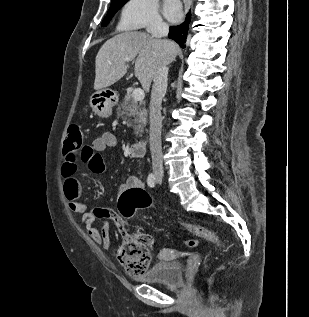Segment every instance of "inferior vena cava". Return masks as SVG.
I'll use <instances>...</instances> for the list:
<instances>
[{"label": "inferior vena cava", "mask_w": 309, "mask_h": 317, "mask_svg": "<svg viewBox=\"0 0 309 317\" xmlns=\"http://www.w3.org/2000/svg\"><path fill=\"white\" fill-rule=\"evenodd\" d=\"M153 38L160 39L166 37L169 32V26L160 21H154L148 28ZM165 52H169L172 44L168 40H162ZM167 62L163 60L157 67L155 76L153 78V86L151 91L150 101V151L152 157V167L156 172L163 171V157L161 146V129H162V116H161V103L167 90V76L168 67Z\"/></svg>", "instance_id": "602c4592"}]
</instances>
